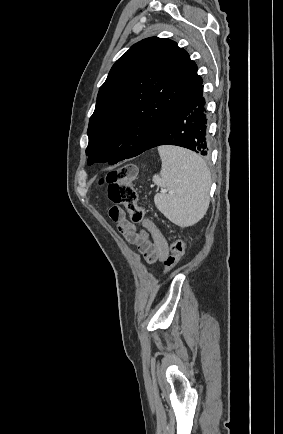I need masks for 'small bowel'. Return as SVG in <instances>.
<instances>
[{
  "label": "small bowel",
  "mask_w": 283,
  "mask_h": 434,
  "mask_svg": "<svg viewBox=\"0 0 283 434\" xmlns=\"http://www.w3.org/2000/svg\"><path fill=\"white\" fill-rule=\"evenodd\" d=\"M109 216L126 241L138 247L147 263L165 261L169 256L166 238L152 221L145 219V229L138 230L136 225L128 220L125 211L118 206L110 209Z\"/></svg>",
  "instance_id": "c3829d8e"
}]
</instances>
